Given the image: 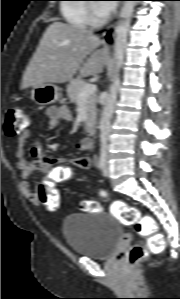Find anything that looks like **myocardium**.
Here are the masks:
<instances>
[{"mask_svg":"<svg viewBox=\"0 0 180 299\" xmlns=\"http://www.w3.org/2000/svg\"><path fill=\"white\" fill-rule=\"evenodd\" d=\"M95 4L89 5L90 22L92 26H101L106 22V17L98 12Z\"/></svg>","mask_w":180,"mask_h":299,"instance_id":"1","label":"myocardium"}]
</instances>
